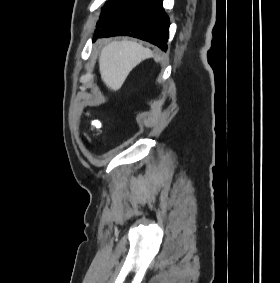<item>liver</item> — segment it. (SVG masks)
Here are the masks:
<instances>
[{
	"instance_id": "6515ba94",
	"label": "liver",
	"mask_w": 280,
	"mask_h": 283,
	"mask_svg": "<svg viewBox=\"0 0 280 283\" xmlns=\"http://www.w3.org/2000/svg\"><path fill=\"white\" fill-rule=\"evenodd\" d=\"M152 51L135 41H113L105 45L99 55V71L105 85L117 91L123 85L130 71Z\"/></svg>"
}]
</instances>
